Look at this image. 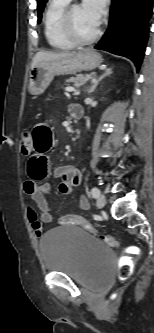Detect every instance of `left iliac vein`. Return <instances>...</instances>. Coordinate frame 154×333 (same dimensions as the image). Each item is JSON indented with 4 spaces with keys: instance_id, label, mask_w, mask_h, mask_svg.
<instances>
[{
    "instance_id": "left-iliac-vein-1",
    "label": "left iliac vein",
    "mask_w": 154,
    "mask_h": 333,
    "mask_svg": "<svg viewBox=\"0 0 154 333\" xmlns=\"http://www.w3.org/2000/svg\"><path fill=\"white\" fill-rule=\"evenodd\" d=\"M106 203V198L104 194H100L97 198L96 205L98 208H103Z\"/></svg>"
}]
</instances>
